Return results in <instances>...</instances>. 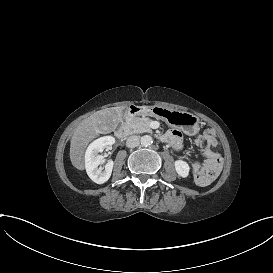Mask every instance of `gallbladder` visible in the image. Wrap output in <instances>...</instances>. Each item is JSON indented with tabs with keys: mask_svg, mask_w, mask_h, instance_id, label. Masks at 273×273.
<instances>
[{
	"mask_svg": "<svg viewBox=\"0 0 273 273\" xmlns=\"http://www.w3.org/2000/svg\"><path fill=\"white\" fill-rule=\"evenodd\" d=\"M118 118L119 119H125L126 118V108L125 107H120L119 108Z\"/></svg>",
	"mask_w": 273,
	"mask_h": 273,
	"instance_id": "1",
	"label": "gallbladder"
}]
</instances>
